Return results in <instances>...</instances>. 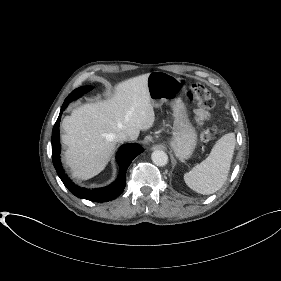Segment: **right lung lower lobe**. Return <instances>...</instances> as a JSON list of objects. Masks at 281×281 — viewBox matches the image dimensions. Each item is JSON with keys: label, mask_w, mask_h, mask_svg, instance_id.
<instances>
[{"label": "right lung lower lobe", "mask_w": 281, "mask_h": 281, "mask_svg": "<svg viewBox=\"0 0 281 281\" xmlns=\"http://www.w3.org/2000/svg\"><path fill=\"white\" fill-rule=\"evenodd\" d=\"M71 99H65L59 117L53 127L52 131V161L54 167L58 173V176L67 187V189L74 194L76 197L87 199L94 202H106L115 199L119 196L126 185V171L132 160L141 154L144 149L138 144H125L121 146L117 152L116 159L120 168L117 179L109 186L98 189H84L75 185L65 174L60 160V139H59V123L62 112L65 110L67 105L71 102Z\"/></svg>", "instance_id": "right-lung-lower-lobe-1"}]
</instances>
